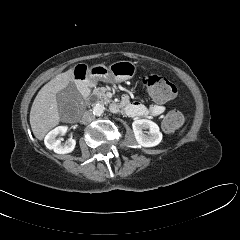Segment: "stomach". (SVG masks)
<instances>
[{"mask_svg": "<svg viewBox=\"0 0 240 240\" xmlns=\"http://www.w3.org/2000/svg\"><path fill=\"white\" fill-rule=\"evenodd\" d=\"M136 64L131 61H117L109 67L95 65L88 70L89 80L93 83L103 81L107 83L122 82L130 79L136 73Z\"/></svg>", "mask_w": 240, "mask_h": 240, "instance_id": "1", "label": "stomach"}]
</instances>
